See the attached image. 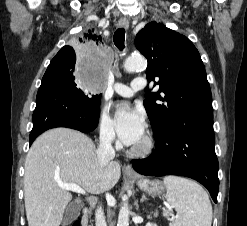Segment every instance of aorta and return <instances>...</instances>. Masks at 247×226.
Masks as SVG:
<instances>
[{"label":"aorta","instance_id":"obj_1","mask_svg":"<svg viewBox=\"0 0 247 226\" xmlns=\"http://www.w3.org/2000/svg\"><path fill=\"white\" fill-rule=\"evenodd\" d=\"M147 67V60L143 56H132L126 59L124 69L127 72H134L136 70H145ZM129 214L127 197L123 198V206L118 215L117 226H129Z\"/></svg>","mask_w":247,"mask_h":226}]
</instances>
